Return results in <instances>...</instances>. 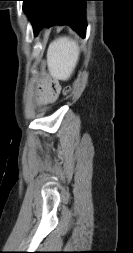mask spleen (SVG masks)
Instances as JSON below:
<instances>
[{
	"label": "spleen",
	"instance_id": "1",
	"mask_svg": "<svg viewBox=\"0 0 133 253\" xmlns=\"http://www.w3.org/2000/svg\"><path fill=\"white\" fill-rule=\"evenodd\" d=\"M79 58V47L72 39L61 37L48 48V67L50 74L59 80H67L73 73Z\"/></svg>",
	"mask_w": 133,
	"mask_h": 253
}]
</instances>
